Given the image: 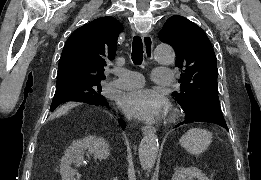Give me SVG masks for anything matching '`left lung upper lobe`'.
I'll use <instances>...</instances> for the list:
<instances>
[{"instance_id":"left-lung-upper-lobe-1","label":"left lung upper lobe","mask_w":261,"mask_h":180,"mask_svg":"<svg viewBox=\"0 0 261 180\" xmlns=\"http://www.w3.org/2000/svg\"><path fill=\"white\" fill-rule=\"evenodd\" d=\"M159 39L174 48L175 66L181 69V90L173 93L177 102L190 112H221L216 56L206 33L185 17L175 15L166 21Z\"/></svg>"}]
</instances>
